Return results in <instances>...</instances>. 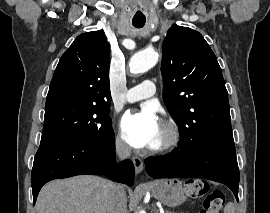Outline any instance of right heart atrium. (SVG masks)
Segmentation results:
<instances>
[{
    "mask_svg": "<svg viewBox=\"0 0 270 213\" xmlns=\"http://www.w3.org/2000/svg\"><path fill=\"white\" fill-rule=\"evenodd\" d=\"M114 148L116 152L120 155H125L128 153L127 146L123 143V141L118 135H116L114 138Z\"/></svg>",
    "mask_w": 270,
    "mask_h": 213,
    "instance_id": "1",
    "label": "right heart atrium"
}]
</instances>
